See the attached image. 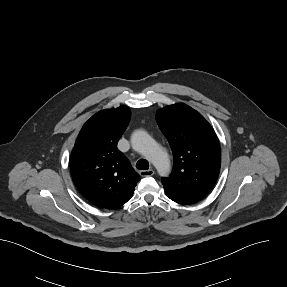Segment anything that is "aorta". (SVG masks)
<instances>
[{
  "instance_id": "1",
  "label": "aorta",
  "mask_w": 287,
  "mask_h": 287,
  "mask_svg": "<svg viewBox=\"0 0 287 287\" xmlns=\"http://www.w3.org/2000/svg\"><path fill=\"white\" fill-rule=\"evenodd\" d=\"M134 150L144 155L157 169L160 176L170 172V160L167 152L145 131L136 130L131 136Z\"/></svg>"
}]
</instances>
